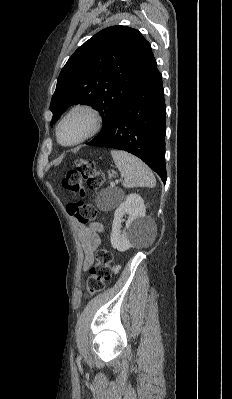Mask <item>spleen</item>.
I'll list each match as a JSON object with an SVG mask.
<instances>
[{
	"label": "spleen",
	"instance_id": "1",
	"mask_svg": "<svg viewBox=\"0 0 232 399\" xmlns=\"http://www.w3.org/2000/svg\"><path fill=\"white\" fill-rule=\"evenodd\" d=\"M111 156L121 172V178H124V188H155L156 178L152 170L139 158L122 150H111Z\"/></svg>",
	"mask_w": 232,
	"mask_h": 399
}]
</instances>
